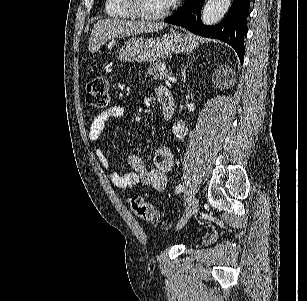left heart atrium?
Segmentation results:
<instances>
[{
  "label": "left heart atrium",
  "instance_id": "39dd6f15",
  "mask_svg": "<svg viewBox=\"0 0 307 301\" xmlns=\"http://www.w3.org/2000/svg\"><path fill=\"white\" fill-rule=\"evenodd\" d=\"M168 4H181L182 0H167Z\"/></svg>",
  "mask_w": 307,
  "mask_h": 301
}]
</instances>
